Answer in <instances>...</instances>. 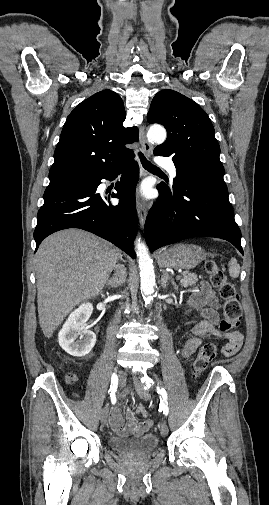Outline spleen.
<instances>
[{
  "mask_svg": "<svg viewBox=\"0 0 269 505\" xmlns=\"http://www.w3.org/2000/svg\"><path fill=\"white\" fill-rule=\"evenodd\" d=\"M240 273V266L235 258L229 261V274L232 278H237Z\"/></svg>",
  "mask_w": 269,
  "mask_h": 505,
  "instance_id": "obj_1",
  "label": "spleen"
}]
</instances>
